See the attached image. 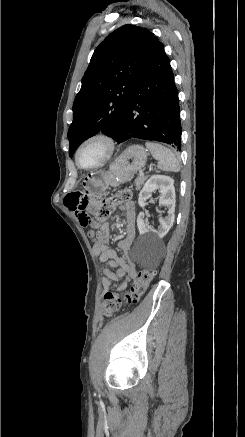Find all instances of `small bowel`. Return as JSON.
I'll return each mask as SVG.
<instances>
[{
  "mask_svg": "<svg viewBox=\"0 0 245 437\" xmlns=\"http://www.w3.org/2000/svg\"><path fill=\"white\" fill-rule=\"evenodd\" d=\"M66 206L77 216V222L81 229H90L92 218L87 210L92 207L86 195L81 192H73L66 197ZM113 208H118L124 212L126 219L125 236L119 241L118 247L123 252V256L110 248V229L107 224L97 226V237L93 244V253L99 261L104 264L102 286L107 290L113 282H119L117 291H123L128 283L137 275V268L129 255L130 248L134 242L136 212L132 202H117ZM111 269H114L112 271Z\"/></svg>",
  "mask_w": 245,
  "mask_h": 437,
  "instance_id": "c3829d8e",
  "label": "small bowel"
}]
</instances>
